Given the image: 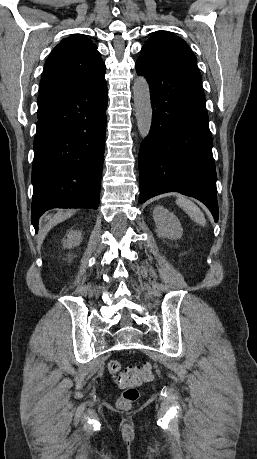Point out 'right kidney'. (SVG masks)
Returning a JSON list of instances; mask_svg holds the SVG:
<instances>
[{
  "label": "right kidney",
  "instance_id": "obj_1",
  "mask_svg": "<svg viewBox=\"0 0 257 459\" xmlns=\"http://www.w3.org/2000/svg\"><path fill=\"white\" fill-rule=\"evenodd\" d=\"M82 241V233L78 230L73 231L71 230L67 234V239L63 240V247L64 248H73L78 246Z\"/></svg>",
  "mask_w": 257,
  "mask_h": 459
}]
</instances>
